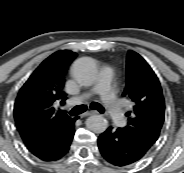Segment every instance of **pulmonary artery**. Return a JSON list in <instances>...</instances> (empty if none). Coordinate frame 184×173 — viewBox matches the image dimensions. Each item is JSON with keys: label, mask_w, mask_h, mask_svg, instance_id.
I'll list each match as a JSON object with an SVG mask.
<instances>
[{"label": "pulmonary artery", "mask_w": 184, "mask_h": 173, "mask_svg": "<svg viewBox=\"0 0 184 173\" xmlns=\"http://www.w3.org/2000/svg\"><path fill=\"white\" fill-rule=\"evenodd\" d=\"M94 92L99 94L111 119L116 124L121 125L124 121V111L116 97L113 86V73L110 70H106L100 75Z\"/></svg>", "instance_id": "pulmonary-artery-1"}]
</instances>
